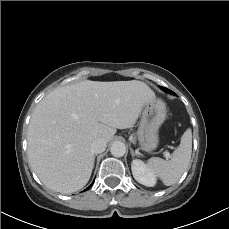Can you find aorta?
I'll return each mask as SVG.
<instances>
[{
	"label": "aorta",
	"instance_id": "762f6f07",
	"mask_svg": "<svg viewBox=\"0 0 229 229\" xmlns=\"http://www.w3.org/2000/svg\"><path fill=\"white\" fill-rule=\"evenodd\" d=\"M110 152L114 157H122L126 152V146L123 142L115 141L111 145Z\"/></svg>",
	"mask_w": 229,
	"mask_h": 229
}]
</instances>
